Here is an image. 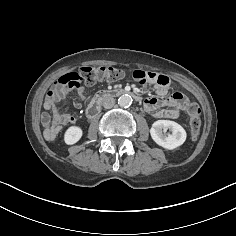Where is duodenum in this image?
Masks as SVG:
<instances>
[{
    "mask_svg": "<svg viewBox=\"0 0 236 236\" xmlns=\"http://www.w3.org/2000/svg\"><path fill=\"white\" fill-rule=\"evenodd\" d=\"M130 95L134 100L140 101V95L133 93L130 89L127 88H117V89H105L98 92L91 100L90 104L87 107L86 115L88 118L95 116L100 108V103L103 99L110 96H121V95Z\"/></svg>",
    "mask_w": 236,
    "mask_h": 236,
    "instance_id": "1",
    "label": "duodenum"
}]
</instances>
